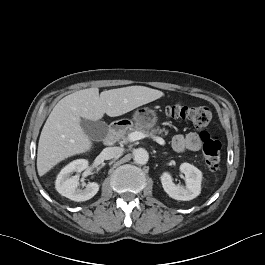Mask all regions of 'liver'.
Returning a JSON list of instances; mask_svg holds the SVG:
<instances>
[{"mask_svg":"<svg viewBox=\"0 0 265 265\" xmlns=\"http://www.w3.org/2000/svg\"><path fill=\"white\" fill-rule=\"evenodd\" d=\"M163 95L162 91L145 86H129L100 95L98 88H88L65 96L55 105L41 131L37 150L39 176L68 157L91 149L92 142L81 126V118L98 121L105 113L120 116Z\"/></svg>","mask_w":265,"mask_h":265,"instance_id":"liver-1","label":"liver"}]
</instances>
